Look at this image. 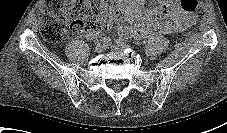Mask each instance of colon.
<instances>
[{
  "label": "colon",
  "mask_w": 227,
  "mask_h": 133,
  "mask_svg": "<svg viewBox=\"0 0 227 133\" xmlns=\"http://www.w3.org/2000/svg\"><path fill=\"white\" fill-rule=\"evenodd\" d=\"M205 0H180L186 12L201 13ZM118 10L108 0H48L39 12L42 36L51 43L63 41L69 30L87 32L110 25Z\"/></svg>",
  "instance_id": "obj_1"
}]
</instances>
